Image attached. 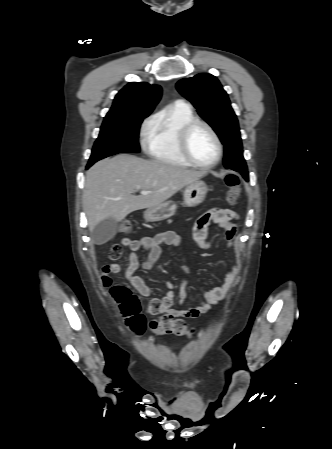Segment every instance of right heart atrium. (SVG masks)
Here are the masks:
<instances>
[{
	"instance_id": "1",
	"label": "right heart atrium",
	"mask_w": 332,
	"mask_h": 449,
	"mask_svg": "<svg viewBox=\"0 0 332 449\" xmlns=\"http://www.w3.org/2000/svg\"><path fill=\"white\" fill-rule=\"evenodd\" d=\"M152 119H146L141 126V136L143 138V142H145L148 138V135L151 131Z\"/></svg>"
}]
</instances>
